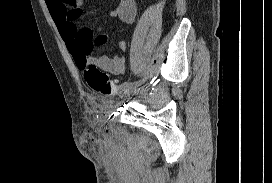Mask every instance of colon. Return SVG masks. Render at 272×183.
<instances>
[{"mask_svg": "<svg viewBox=\"0 0 272 183\" xmlns=\"http://www.w3.org/2000/svg\"><path fill=\"white\" fill-rule=\"evenodd\" d=\"M84 77L89 87L101 95L110 96L118 90L117 85L109 76L96 67L89 66L84 72Z\"/></svg>", "mask_w": 272, "mask_h": 183, "instance_id": "colon-1", "label": "colon"}]
</instances>
